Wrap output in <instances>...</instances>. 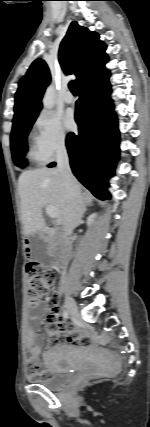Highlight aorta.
<instances>
[{"instance_id": "762f6f07", "label": "aorta", "mask_w": 150, "mask_h": 427, "mask_svg": "<svg viewBox=\"0 0 150 427\" xmlns=\"http://www.w3.org/2000/svg\"><path fill=\"white\" fill-rule=\"evenodd\" d=\"M55 90L49 86L44 94L42 103L45 109H52L54 107Z\"/></svg>"}]
</instances>
